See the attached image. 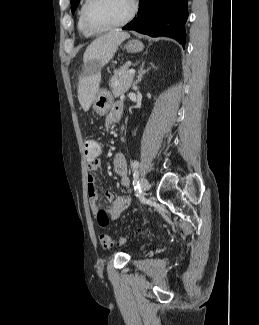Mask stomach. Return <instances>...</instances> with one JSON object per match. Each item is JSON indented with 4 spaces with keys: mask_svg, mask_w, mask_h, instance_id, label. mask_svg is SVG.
<instances>
[{
    "mask_svg": "<svg viewBox=\"0 0 259 325\" xmlns=\"http://www.w3.org/2000/svg\"><path fill=\"white\" fill-rule=\"evenodd\" d=\"M144 48V45L139 40H130L126 45L125 49L129 53H138L141 52ZM113 103V97L107 90H98L93 101V109L99 115H105L110 110Z\"/></svg>",
    "mask_w": 259,
    "mask_h": 325,
    "instance_id": "stomach-1",
    "label": "stomach"
}]
</instances>
